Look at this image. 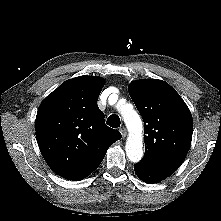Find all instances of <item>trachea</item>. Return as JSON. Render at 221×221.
Segmentation results:
<instances>
[{"instance_id":"1","label":"trachea","mask_w":221,"mask_h":221,"mask_svg":"<svg viewBox=\"0 0 221 221\" xmlns=\"http://www.w3.org/2000/svg\"><path fill=\"white\" fill-rule=\"evenodd\" d=\"M107 125L113 127V128H118L120 127V118L116 114H112L108 117L107 119Z\"/></svg>"}]
</instances>
